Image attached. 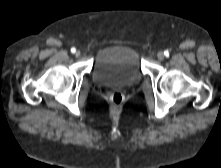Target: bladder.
I'll list each match as a JSON object with an SVG mask.
<instances>
[{"mask_svg":"<svg viewBox=\"0 0 221 168\" xmlns=\"http://www.w3.org/2000/svg\"><path fill=\"white\" fill-rule=\"evenodd\" d=\"M138 51L127 45H113L104 48L97 55L92 79L101 86H128L142 78Z\"/></svg>","mask_w":221,"mask_h":168,"instance_id":"bladder-1","label":"bladder"}]
</instances>
